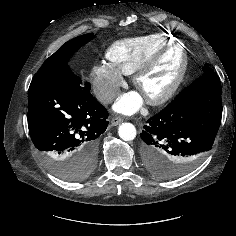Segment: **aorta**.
I'll use <instances>...</instances> for the list:
<instances>
[{"label": "aorta", "mask_w": 236, "mask_h": 236, "mask_svg": "<svg viewBox=\"0 0 236 236\" xmlns=\"http://www.w3.org/2000/svg\"><path fill=\"white\" fill-rule=\"evenodd\" d=\"M119 137L124 141H131L136 137V128L131 123H122L118 129Z\"/></svg>", "instance_id": "1"}]
</instances>
